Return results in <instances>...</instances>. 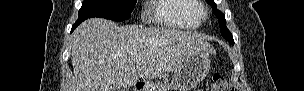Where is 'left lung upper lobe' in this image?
Segmentation results:
<instances>
[{"instance_id": "5c2ea615", "label": "left lung upper lobe", "mask_w": 304, "mask_h": 91, "mask_svg": "<svg viewBox=\"0 0 304 91\" xmlns=\"http://www.w3.org/2000/svg\"><path fill=\"white\" fill-rule=\"evenodd\" d=\"M206 1L208 2V4L212 5V10H213L214 14L218 17L220 31H221L222 36L226 40H228L230 43L234 44L233 36L226 27L225 15L222 12L217 10L214 0H206Z\"/></svg>"}]
</instances>
